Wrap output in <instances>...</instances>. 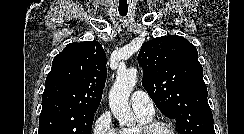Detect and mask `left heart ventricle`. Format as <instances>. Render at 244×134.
Listing matches in <instances>:
<instances>
[{"label": "left heart ventricle", "instance_id": "obj_1", "mask_svg": "<svg viewBox=\"0 0 244 134\" xmlns=\"http://www.w3.org/2000/svg\"><path fill=\"white\" fill-rule=\"evenodd\" d=\"M154 134H171V132L164 127H160L155 130Z\"/></svg>", "mask_w": 244, "mask_h": 134}]
</instances>
